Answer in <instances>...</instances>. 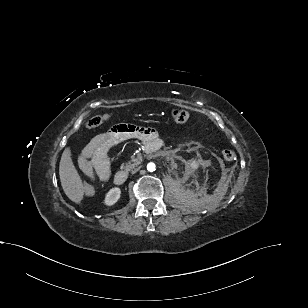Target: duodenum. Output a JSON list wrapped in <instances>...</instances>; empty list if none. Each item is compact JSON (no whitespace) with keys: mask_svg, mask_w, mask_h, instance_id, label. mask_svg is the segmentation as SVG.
<instances>
[{"mask_svg":"<svg viewBox=\"0 0 308 308\" xmlns=\"http://www.w3.org/2000/svg\"><path fill=\"white\" fill-rule=\"evenodd\" d=\"M158 148H159V143L157 141H152L149 142L148 144H145L143 149L145 153L149 154L156 151ZM127 178H128V173L126 171L121 170L115 173L113 180L116 185H122L126 182Z\"/></svg>","mask_w":308,"mask_h":308,"instance_id":"obj_1","label":"duodenum"}]
</instances>
